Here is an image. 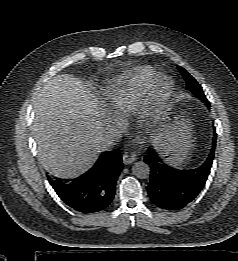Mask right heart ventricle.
<instances>
[{
  "label": "right heart ventricle",
  "mask_w": 238,
  "mask_h": 261,
  "mask_svg": "<svg viewBox=\"0 0 238 261\" xmlns=\"http://www.w3.org/2000/svg\"><path fill=\"white\" fill-rule=\"evenodd\" d=\"M155 75L150 66H141L111 85L106 93L111 110L123 114L136 109Z\"/></svg>",
  "instance_id": "obj_1"
}]
</instances>
